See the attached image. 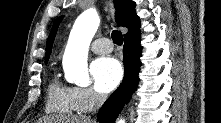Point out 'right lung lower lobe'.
Masks as SVG:
<instances>
[{"mask_svg":"<svg viewBox=\"0 0 221 123\" xmlns=\"http://www.w3.org/2000/svg\"><path fill=\"white\" fill-rule=\"evenodd\" d=\"M140 35L124 38L123 62L124 78L117 90L106 100L98 112L99 123H114L125 103L131 99L139 81L141 50Z\"/></svg>","mask_w":221,"mask_h":123,"instance_id":"right-lung-lower-lobe-1","label":"right lung lower lobe"}]
</instances>
